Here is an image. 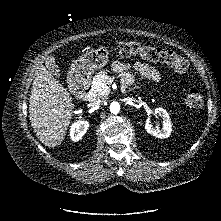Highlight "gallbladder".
<instances>
[{
  "instance_id": "obj_1",
  "label": "gallbladder",
  "mask_w": 221,
  "mask_h": 221,
  "mask_svg": "<svg viewBox=\"0 0 221 221\" xmlns=\"http://www.w3.org/2000/svg\"><path fill=\"white\" fill-rule=\"evenodd\" d=\"M45 65L47 67V69L53 74L55 75L57 78L61 77V71L58 67V65L56 64V61L54 59V57H47L45 59Z\"/></svg>"
}]
</instances>
